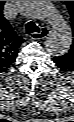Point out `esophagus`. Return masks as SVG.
Instances as JSON below:
<instances>
[{
    "instance_id": "34e87169",
    "label": "esophagus",
    "mask_w": 74,
    "mask_h": 122,
    "mask_svg": "<svg viewBox=\"0 0 74 122\" xmlns=\"http://www.w3.org/2000/svg\"><path fill=\"white\" fill-rule=\"evenodd\" d=\"M47 35H48V29L47 28H41V31L40 32H38V33H32L31 35H30V37L32 38V39H44V38H46L47 37Z\"/></svg>"
}]
</instances>
